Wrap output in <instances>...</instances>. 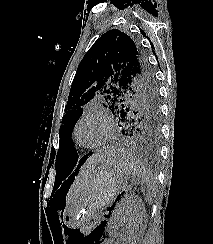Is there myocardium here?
<instances>
[{"instance_id":"myocardium-1","label":"myocardium","mask_w":213,"mask_h":244,"mask_svg":"<svg viewBox=\"0 0 213 244\" xmlns=\"http://www.w3.org/2000/svg\"><path fill=\"white\" fill-rule=\"evenodd\" d=\"M89 118H98L101 119L105 125H106V135L105 137L98 142L97 144L94 145H87L84 144L80 141L79 137H78V129L79 126L87 119ZM115 132V124L114 121L112 119V117L110 116V114L108 112H106L103 109H98V110H93V111H89L84 113L75 123L74 129H73V137L75 139V141L84 148H88V149H93V148H99L101 146H104L106 143H108L110 141V139L113 137Z\"/></svg>"}]
</instances>
